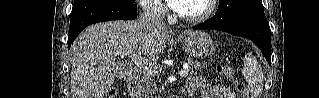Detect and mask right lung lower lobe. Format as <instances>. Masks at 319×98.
<instances>
[{"mask_svg": "<svg viewBox=\"0 0 319 98\" xmlns=\"http://www.w3.org/2000/svg\"><path fill=\"white\" fill-rule=\"evenodd\" d=\"M136 4L116 0H87L74 3L70 15L68 48L88 25L109 20H132L136 18Z\"/></svg>", "mask_w": 319, "mask_h": 98, "instance_id": "1", "label": "right lung lower lobe"}]
</instances>
